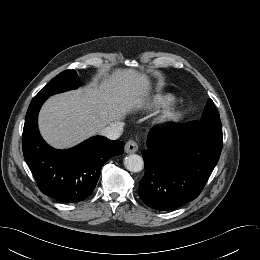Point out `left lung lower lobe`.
Here are the masks:
<instances>
[{"label":"left lung lower lobe","instance_id":"obj_1","mask_svg":"<svg viewBox=\"0 0 260 260\" xmlns=\"http://www.w3.org/2000/svg\"><path fill=\"white\" fill-rule=\"evenodd\" d=\"M223 145L222 133L173 123L148 138L142 151L145 176L138 195L157 210H171L195 199L202 191Z\"/></svg>","mask_w":260,"mask_h":260}]
</instances>
